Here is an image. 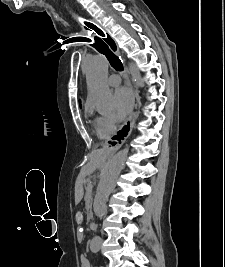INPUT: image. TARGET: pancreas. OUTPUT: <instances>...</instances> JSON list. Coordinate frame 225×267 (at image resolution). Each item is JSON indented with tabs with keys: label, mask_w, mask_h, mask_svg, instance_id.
<instances>
[{
	"label": "pancreas",
	"mask_w": 225,
	"mask_h": 267,
	"mask_svg": "<svg viewBox=\"0 0 225 267\" xmlns=\"http://www.w3.org/2000/svg\"><path fill=\"white\" fill-rule=\"evenodd\" d=\"M92 200V194H91V189L87 188L86 189V194H85V201L87 204H90Z\"/></svg>",
	"instance_id": "obj_1"
}]
</instances>
